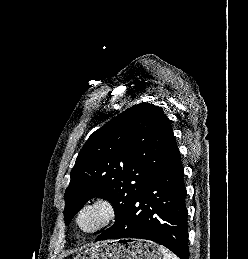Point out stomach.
Segmentation results:
<instances>
[{
	"label": "stomach",
	"instance_id": "obj_1",
	"mask_svg": "<svg viewBox=\"0 0 248 259\" xmlns=\"http://www.w3.org/2000/svg\"><path fill=\"white\" fill-rule=\"evenodd\" d=\"M155 242L121 239L97 244L77 254L74 259H162Z\"/></svg>",
	"mask_w": 248,
	"mask_h": 259
}]
</instances>
